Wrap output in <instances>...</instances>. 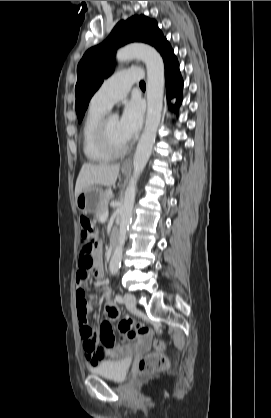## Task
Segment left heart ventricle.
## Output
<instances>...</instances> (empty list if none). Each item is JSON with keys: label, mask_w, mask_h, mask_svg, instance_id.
Here are the masks:
<instances>
[{"label": "left heart ventricle", "mask_w": 271, "mask_h": 418, "mask_svg": "<svg viewBox=\"0 0 271 418\" xmlns=\"http://www.w3.org/2000/svg\"><path fill=\"white\" fill-rule=\"evenodd\" d=\"M109 133L111 140L116 145L125 144L127 141L124 139L121 129H120V119L118 117L112 116L109 120Z\"/></svg>", "instance_id": "obj_1"}]
</instances>
